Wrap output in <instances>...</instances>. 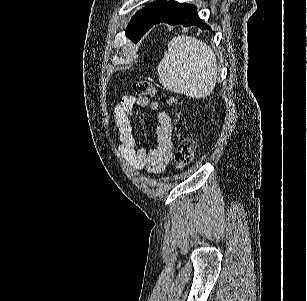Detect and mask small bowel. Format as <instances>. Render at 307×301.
<instances>
[{
	"instance_id": "1",
	"label": "small bowel",
	"mask_w": 307,
	"mask_h": 301,
	"mask_svg": "<svg viewBox=\"0 0 307 301\" xmlns=\"http://www.w3.org/2000/svg\"><path fill=\"white\" fill-rule=\"evenodd\" d=\"M150 108L158 111V125L155 130L156 145L150 150L140 146L133 132L132 116L135 108ZM113 116L119 130L118 146L123 158L137 170L152 174L162 173L172 159V119L166 112L159 111V105L147 97L124 95L113 109Z\"/></svg>"
}]
</instances>
